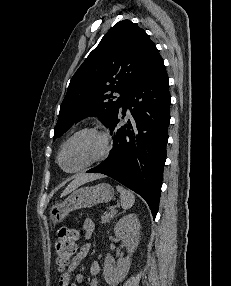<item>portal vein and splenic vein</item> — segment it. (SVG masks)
<instances>
[{
	"mask_svg": "<svg viewBox=\"0 0 231 286\" xmlns=\"http://www.w3.org/2000/svg\"><path fill=\"white\" fill-rule=\"evenodd\" d=\"M111 211H115L114 208H111Z\"/></svg>",
	"mask_w": 231,
	"mask_h": 286,
	"instance_id": "1",
	"label": "portal vein and splenic vein"
}]
</instances>
